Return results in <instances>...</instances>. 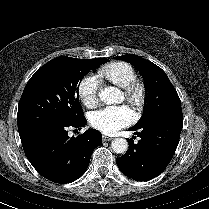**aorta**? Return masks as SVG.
<instances>
[{
	"mask_svg": "<svg viewBox=\"0 0 209 209\" xmlns=\"http://www.w3.org/2000/svg\"><path fill=\"white\" fill-rule=\"evenodd\" d=\"M121 95L120 90L112 86L105 87L99 92L100 100L107 104L117 102ZM111 147L115 153L123 154L128 149V142L124 138H115L111 142Z\"/></svg>",
	"mask_w": 209,
	"mask_h": 209,
	"instance_id": "762f6f07",
	"label": "aorta"
}]
</instances>
